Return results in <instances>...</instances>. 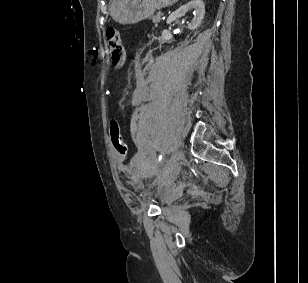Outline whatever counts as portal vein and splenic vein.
I'll list each match as a JSON object with an SVG mask.
<instances>
[{
    "mask_svg": "<svg viewBox=\"0 0 308 283\" xmlns=\"http://www.w3.org/2000/svg\"><path fill=\"white\" fill-rule=\"evenodd\" d=\"M159 15H160V16H163V13H162V12H160V13H159Z\"/></svg>",
    "mask_w": 308,
    "mask_h": 283,
    "instance_id": "portal-vein-and-splenic-vein-1",
    "label": "portal vein and splenic vein"
}]
</instances>
